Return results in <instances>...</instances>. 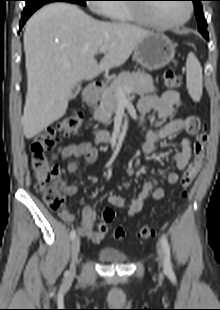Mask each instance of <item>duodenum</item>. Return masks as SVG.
<instances>
[{
	"label": "duodenum",
	"mask_w": 220,
	"mask_h": 310,
	"mask_svg": "<svg viewBox=\"0 0 220 310\" xmlns=\"http://www.w3.org/2000/svg\"><path fill=\"white\" fill-rule=\"evenodd\" d=\"M103 88L104 83L102 81L99 80L93 81L85 94V101L88 103H95L97 96L100 94ZM97 138L101 142L105 143L109 142L111 139L110 135L105 131L99 132Z\"/></svg>",
	"instance_id": "410a0bca"
}]
</instances>
